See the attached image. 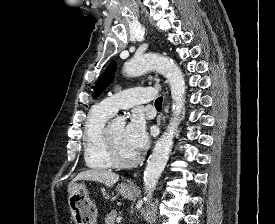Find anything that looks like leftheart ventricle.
Listing matches in <instances>:
<instances>
[{"label":"left heart ventricle","instance_id":"b2bd125f","mask_svg":"<svg viewBox=\"0 0 275 224\" xmlns=\"http://www.w3.org/2000/svg\"><path fill=\"white\" fill-rule=\"evenodd\" d=\"M124 126L120 124L109 127L110 135L119 156L123 159H131L137 154L133 152L124 140Z\"/></svg>","mask_w":275,"mask_h":224}]
</instances>
